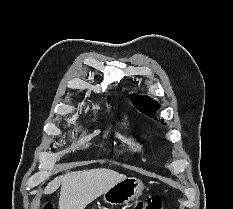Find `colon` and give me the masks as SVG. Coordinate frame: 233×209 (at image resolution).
<instances>
[{
    "mask_svg": "<svg viewBox=\"0 0 233 209\" xmlns=\"http://www.w3.org/2000/svg\"><path fill=\"white\" fill-rule=\"evenodd\" d=\"M163 202L159 195H151L138 201L133 209H162ZM44 209H53L51 204H46Z\"/></svg>",
    "mask_w": 233,
    "mask_h": 209,
    "instance_id": "1",
    "label": "colon"
}]
</instances>
